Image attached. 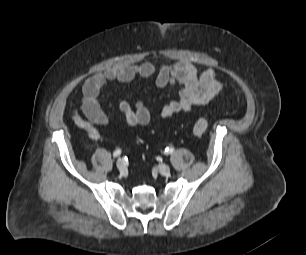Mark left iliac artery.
<instances>
[{
    "mask_svg": "<svg viewBox=\"0 0 306 255\" xmlns=\"http://www.w3.org/2000/svg\"><path fill=\"white\" fill-rule=\"evenodd\" d=\"M174 152V148L173 147H167L164 150V154L168 155V154H172Z\"/></svg>",
    "mask_w": 306,
    "mask_h": 255,
    "instance_id": "44dca946",
    "label": "left iliac artery"
}]
</instances>
